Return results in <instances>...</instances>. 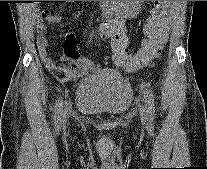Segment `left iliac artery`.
Returning a JSON list of instances; mask_svg holds the SVG:
<instances>
[{
  "label": "left iliac artery",
  "mask_w": 207,
  "mask_h": 169,
  "mask_svg": "<svg viewBox=\"0 0 207 169\" xmlns=\"http://www.w3.org/2000/svg\"><path fill=\"white\" fill-rule=\"evenodd\" d=\"M144 97H145V103H146L145 106L147 110V115L149 117V120L152 121L155 117L154 95L150 90L145 89Z\"/></svg>",
  "instance_id": "1"
}]
</instances>
